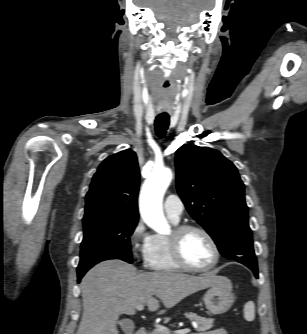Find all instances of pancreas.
Wrapping results in <instances>:
<instances>
[{
    "instance_id": "cf45deb5",
    "label": "pancreas",
    "mask_w": 307,
    "mask_h": 334,
    "mask_svg": "<svg viewBox=\"0 0 307 334\" xmlns=\"http://www.w3.org/2000/svg\"><path fill=\"white\" fill-rule=\"evenodd\" d=\"M185 316L186 318L190 319L191 321H194L197 324V330L199 333H194V334H203L201 332L209 330L213 327V323H214L213 318L201 317L195 313H186ZM149 334H165V333L155 329Z\"/></svg>"
}]
</instances>
